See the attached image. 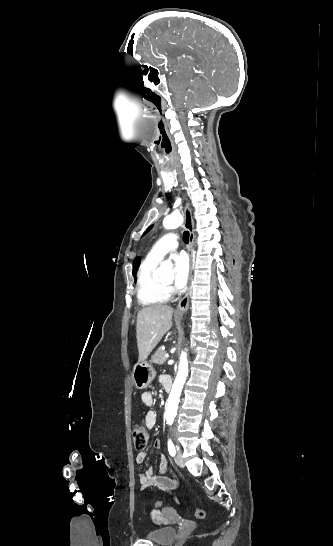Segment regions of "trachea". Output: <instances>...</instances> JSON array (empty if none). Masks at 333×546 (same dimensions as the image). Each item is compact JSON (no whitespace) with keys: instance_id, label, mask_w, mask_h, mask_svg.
<instances>
[{"instance_id":"obj_1","label":"trachea","mask_w":333,"mask_h":546,"mask_svg":"<svg viewBox=\"0 0 333 546\" xmlns=\"http://www.w3.org/2000/svg\"><path fill=\"white\" fill-rule=\"evenodd\" d=\"M183 241H184L186 244H188V242H189V232H188V231H185V232L183 233Z\"/></svg>"}]
</instances>
